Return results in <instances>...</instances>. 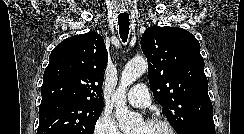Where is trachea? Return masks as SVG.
Masks as SVG:
<instances>
[{
    "label": "trachea",
    "mask_w": 244,
    "mask_h": 134,
    "mask_svg": "<svg viewBox=\"0 0 244 134\" xmlns=\"http://www.w3.org/2000/svg\"><path fill=\"white\" fill-rule=\"evenodd\" d=\"M129 14L121 13L118 16L119 34L123 42H126L129 35Z\"/></svg>",
    "instance_id": "1"
}]
</instances>
